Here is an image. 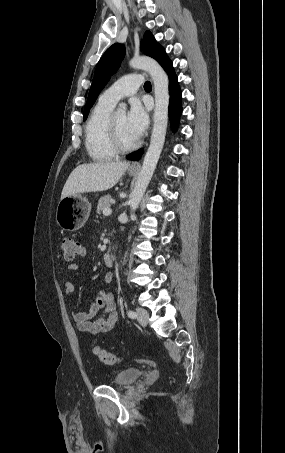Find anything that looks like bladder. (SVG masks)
<instances>
[{
  "mask_svg": "<svg viewBox=\"0 0 285 453\" xmlns=\"http://www.w3.org/2000/svg\"><path fill=\"white\" fill-rule=\"evenodd\" d=\"M142 375V370L139 368L123 369L115 374L111 380V384L115 386H126L135 382Z\"/></svg>",
  "mask_w": 285,
  "mask_h": 453,
  "instance_id": "1",
  "label": "bladder"
}]
</instances>
